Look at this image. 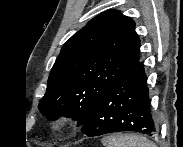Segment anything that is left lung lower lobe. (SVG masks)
I'll return each instance as SVG.
<instances>
[{
	"instance_id": "0a47b994",
	"label": "left lung lower lobe",
	"mask_w": 183,
	"mask_h": 147,
	"mask_svg": "<svg viewBox=\"0 0 183 147\" xmlns=\"http://www.w3.org/2000/svg\"><path fill=\"white\" fill-rule=\"evenodd\" d=\"M121 131L150 136L158 131L150 111L147 77L139 61L104 92L82 127L89 137Z\"/></svg>"
}]
</instances>
